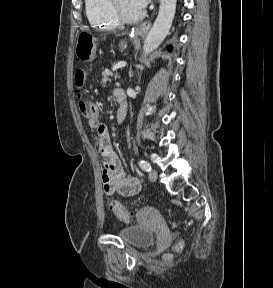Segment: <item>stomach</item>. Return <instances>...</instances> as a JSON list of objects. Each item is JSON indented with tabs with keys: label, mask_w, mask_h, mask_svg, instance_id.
Segmentation results:
<instances>
[{
	"label": "stomach",
	"mask_w": 273,
	"mask_h": 288,
	"mask_svg": "<svg viewBox=\"0 0 273 288\" xmlns=\"http://www.w3.org/2000/svg\"><path fill=\"white\" fill-rule=\"evenodd\" d=\"M123 45V42H121ZM96 50V38L88 33H81L77 39L75 54L82 61L90 60Z\"/></svg>",
	"instance_id": "obj_1"
}]
</instances>
